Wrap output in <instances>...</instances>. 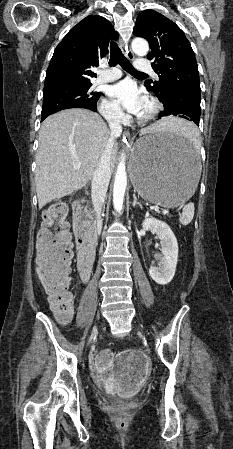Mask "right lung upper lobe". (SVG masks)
Wrapping results in <instances>:
<instances>
[{"instance_id":"obj_1","label":"right lung upper lobe","mask_w":233,"mask_h":449,"mask_svg":"<svg viewBox=\"0 0 233 449\" xmlns=\"http://www.w3.org/2000/svg\"><path fill=\"white\" fill-rule=\"evenodd\" d=\"M119 34L104 17L88 16L74 26L54 51L46 72L44 92L52 89L91 84V71L107 51L110 39Z\"/></svg>"}]
</instances>
